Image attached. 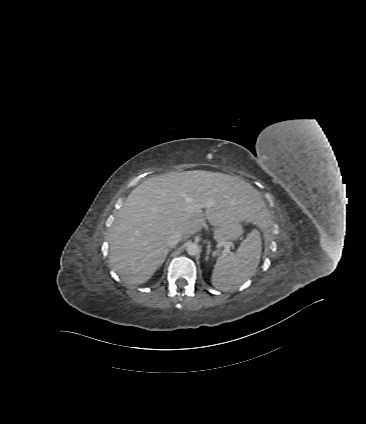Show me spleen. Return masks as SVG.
Segmentation results:
<instances>
[{
	"label": "spleen",
	"mask_w": 366,
	"mask_h": 424,
	"mask_svg": "<svg viewBox=\"0 0 366 424\" xmlns=\"http://www.w3.org/2000/svg\"><path fill=\"white\" fill-rule=\"evenodd\" d=\"M262 243L257 229L240 244L236 253H222L214 265L211 282L222 291H233L253 276L259 265Z\"/></svg>",
	"instance_id": "3e777b00"
}]
</instances>
